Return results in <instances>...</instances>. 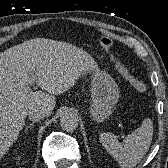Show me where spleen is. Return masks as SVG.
I'll return each instance as SVG.
<instances>
[{
    "label": "spleen",
    "mask_w": 168,
    "mask_h": 168,
    "mask_svg": "<svg viewBox=\"0 0 168 168\" xmlns=\"http://www.w3.org/2000/svg\"><path fill=\"white\" fill-rule=\"evenodd\" d=\"M153 124L146 118L141 127L127 135L120 143L112 133H101L99 136L102 146L118 162L121 168H133L141 161L152 141Z\"/></svg>",
    "instance_id": "obj_1"
}]
</instances>
